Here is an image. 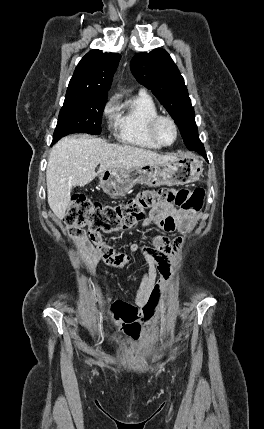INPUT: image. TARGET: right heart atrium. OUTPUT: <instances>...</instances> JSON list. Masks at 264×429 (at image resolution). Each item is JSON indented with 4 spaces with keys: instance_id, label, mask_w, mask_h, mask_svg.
Returning a JSON list of instances; mask_svg holds the SVG:
<instances>
[{
    "instance_id": "obj_1",
    "label": "right heart atrium",
    "mask_w": 264,
    "mask_h": 429,
    "mask_svg": "<svg viewBox=\"0 0 264 429\" xmlns=\"http://www.w3.org/2000/svg\"><path fill=\"white\" fill-rule=\"evenodd\" d=\"M117 108H118L117 99L115 97H110L105 102V104L103 106V110H102L103 115L107 119L111 120L114 117V115H115V113L117 111Z\"/></svg>"
}]
</instances>
